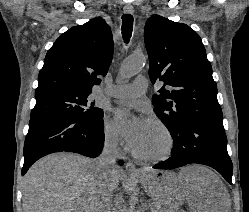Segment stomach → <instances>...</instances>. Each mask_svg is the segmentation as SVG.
Wrapping results in <instances>:
<instances>
[{
	"mask_svg": "<svg viewBox=\"0 0 249 212\" xmlns=\"http://www.w3.org/2000/svg\"><path fill=\"white\" fill-rule=\"evenodd\" d=\"M145 193L149 198H182L183 184L176 179L173 170H148V175H142ZM155 204H182V199H155Z\"/></svg>",
	"mask_w": 249,
	"mask_h": 212,
	"instance_id": "obj_1",
	"label": "stomach"
}]
</instances>
